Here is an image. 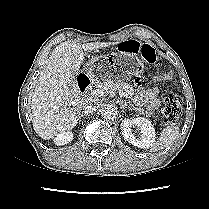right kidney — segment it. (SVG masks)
I'll return each instance as SVG.
<instances>
[{"instance_id": "obj_1", "label": "right kidney", "mask_w": 209, "mask_h": 209, "mask_svg": "<svg viewBox=\"0 0 209 209\" xmlns=\"http://www.w3.org/2000/svg\"><path fill=\"white\" fill-rule=\"evenodd\" d=\"M73 140V133L71 131H64L56 135L54 143L56 145H65Z\"/></svg>"}]
</instances>
